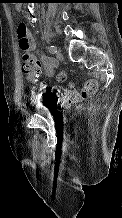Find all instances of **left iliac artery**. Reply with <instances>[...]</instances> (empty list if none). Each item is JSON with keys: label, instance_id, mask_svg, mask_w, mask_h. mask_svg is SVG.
<instances>
[{"label": "left iliac artery", "instance_id": "44dca946", "mask_svg": "<svg viewBox=\"0 0 122 218\" xmlns=\"http://www.w3.org/2000/svg\"><path fill=\"white\" fill-rule=\"evenodd\" d=\"M56 50H57V49H56L55 46H50V47H49V52L52 53V54L56 53Z\"/></svg>", "mask_w": 122, "mask_h": 218}]
</instances>
